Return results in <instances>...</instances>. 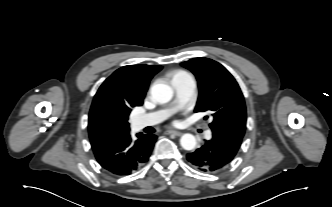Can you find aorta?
Masks as SVG:
<instances>
[{"instance_id": "aorta-1", "label": "aorta", "mask_w": 332, "mask_h": 207, "mask_svg": "<svg viewBox=\"0 0 332 207\" xmlns=\"http://www.w3.org/2000/svg\"><path fill=\"white\" fill-rule=\"evenodd\" d=\"M152 98L159 103H167L172 99L173 90L166 84H154L151 87ZM180 144L185 150H193L196 147V138L192 134H184Z\"/></svg>"}]
</instances>
